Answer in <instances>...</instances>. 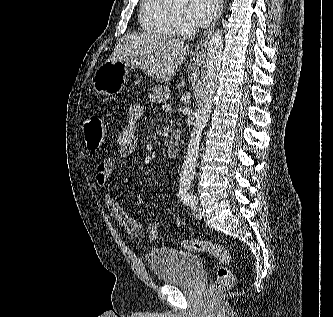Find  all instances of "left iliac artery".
Segmentation results:
<instances>
[{"mask_svg": "<svg viewBox=\"0 0 333 317\" xmlns=\"http://www.w3.org/2000/svg\"><path fill=\"white\" fill-rule=\"evenodd\" d=\"M189 189H190V184L180 185L178 197L183 203L192 206L196 200V197L189 192Z\"/></svg>", "mask_w": 333, "mask_h": 317, "instance_id": "left-iliac-artery-1", "label": "left iliac artery"}]
</instances>
